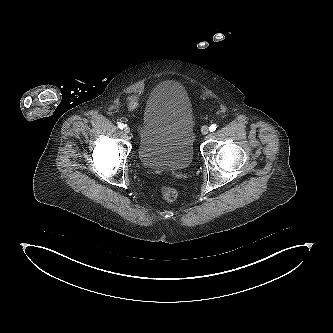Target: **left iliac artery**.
I'll list each match as a JSON object with an SVG mask.
<instances>
[{"instance_id": "obj_1", "label": "left iliac artery", "mask_w": 333, "mask_h": 333, "mask_svg": "<svg viewBox=\"0 0 333 333\" xmlns=\"http://www.w3.org/2000/svg\"><path fill=\"white\" fill-rule=\"evenodd\" d=\"M216 128H217V125H216V124H212V125L209 127V130H210V132H213V131L216 130Z\"/></svg>"}]
</instances>
